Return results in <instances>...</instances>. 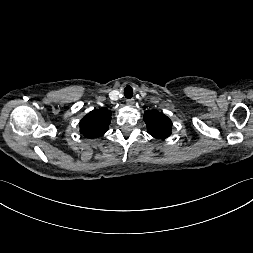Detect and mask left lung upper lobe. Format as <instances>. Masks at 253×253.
I'll use <instances>...</instances> for the list:
<instances>
[{
	"mask_svg": "<svg viewBox=\"0 0 253 253\" xmlns=\"http://www.w3.org/2000/svg\"><path fill=\"white\" fill-rule=\"evenodd\" d=\"M143 119L147 125V132L151 136L165 139L171 135L172 122L163 113L155 110L147 111Z\"/></svg>",
	"mask_w": 253,
	"mask_h": 253,
	"instance_id": "1",
	"label": "left lung upper lobe"
}]
</instances>
